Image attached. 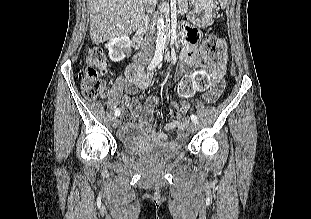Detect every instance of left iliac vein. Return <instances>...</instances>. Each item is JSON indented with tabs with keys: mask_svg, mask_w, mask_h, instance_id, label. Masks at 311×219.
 <instances>
[{
	"mask_svg": "<svg viewBox=\"0 0 311 219\" xmlns=\"http://www.w3.org/2000/svg\"><path fill=\"white\" fill-rule=\"evenodd\" d=\"M189 131H190L191 133H195V132L197 131V125H196V123L191 122V123L189 124Z\"/></svg>",
	"mask_w": 311,
	"mask_h": 219,
	"instance_id": "1",
	"label": "left iliac vein"
}]
</instances>
